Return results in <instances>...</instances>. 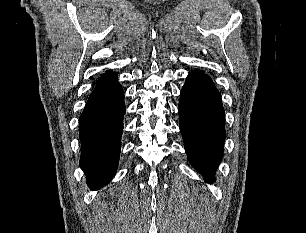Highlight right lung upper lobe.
Returning <instances> with one entry per match:
<instances>
[{
	"label": "right lung upper lobe",
	"mask_w": 306,
	"mask_h": 233,
	"mask_svg": "<svg viewBox=\"0 0 306 233\" xmlns=\"http://www.w3.org/2000/svg\"><path fill=\"white\" fill-rule=\"evenodd\" d=\"M112 72L111 71H106L99 79H98V81L99 80H101V79H103V78H105V77H107L108 75H110Z\"/></svg>",
	"instance_id": "1"
}]
</instances>
